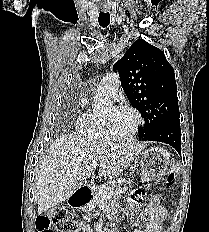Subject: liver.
Instances as JSON below:
<instances>
[{"label": "liver", "mask_w": 209, "mask_h": 232, "mask_svg": "<svg viewBox=\"0 0 209 232\" xmlns=\"http://www.w3.org/2000/svg\"><path fill=\"white\" fill-rule=\"evenodd\" d=\"M145 144L98 142L65 135L48 150L36 177L38 213L46 212L69 199L79 181L90 177L92 162H99L97 177L118 176L140 153Z\"/></svg>", "instance_id": "obj_1"}]
</instances>
